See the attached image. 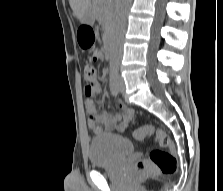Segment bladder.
<instances>
[{
    "mask_svg": "<svg viewBox=\"0 0 223 191\" xmlns=\"http://www.w3.org/2000/svg\"><path fill=\"white\" fill-rule=\"evenodd\" d=\"M131 140L120 135L103 134L91 139L88 145L90 166H114L133 152Z\"/></svg>",
    "mask_w": 223,
    "mask_h": 191,
    "instance_id": "obj_1",
    "label": "bladder"
}]
</instances>
